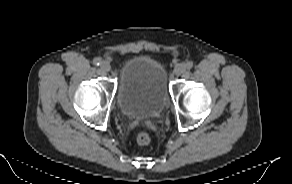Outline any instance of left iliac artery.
Listing matches in <instances>:
<instances>
[{
  "mask_svg": "<svg viewBox=\"0 0 292 184\" xmlns=\"http://www.w3.org/2000/svg\"><path fill=\"white\" fill-rule=\"evenodd\" d=\"M185 67H186L187 69H191V68L193 67V62L188 61V62L185 64Z\"/></svg>",
  "mask_w": 292,
  "mask_h": 184,
  "instance_id": "obj_1",
  "label": "left iliac artery"
}]
</instances>
